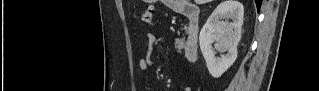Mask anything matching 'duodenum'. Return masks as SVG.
<instances>
[{"mask_svg":"<svg viewBox=\"0 0 319 91\" xmlns=\"http://www.w3.org/2000/svg\"><path fill=\"white\" fill-rule=\"evenodd\" d=\"M182 13L188 19V31L184 41L183 54L188 63H194L198 57L200 12L198 7L187 4Z\"/></svg>","mask_w":319,"mask_h":91,"instance_id":"duodenum-1","label":"duodenum"}]
</instances>
